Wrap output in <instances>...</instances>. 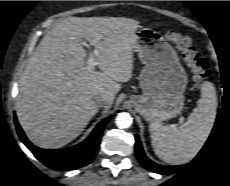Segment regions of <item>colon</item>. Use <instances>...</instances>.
<instances>
[{"instance_id": "5ec220e1", "label": "colon", "mask_w": 230, "mask_h": 186, "mask_svg": "<svg viewBox=\"0 0 230 186\" xmlns=\"http://www.w3.org/2000/svg\"><path fill=\"white\" fill-rule=\"evenodd\" d=\"M166 39L172 42L180 51L182 59L192 73L196 84L202 83L210 75L209 62L194 48L189 37L175 31L166 33Z\"/></svg>"}]
</instances>
